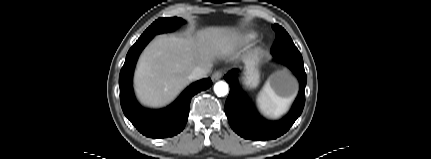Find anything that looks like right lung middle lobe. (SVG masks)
I'll return each mask as SVG.
<instances>
[{"label":"right lung middle lobe","instance_id":"obj_1","mask_svg":"<svg viewBox=\"0 0 431 159\" xmlns=\"http://www.w3.org/2000/svg\"><path fill=\"white\" fill-rule=\"evenodd\" d=\"M184 22L185 21L183 19L177 17L159 18L145 30V32L140 36V38L154 36L163 32L173 31Z\"/></svg>","mask_w":431,"mask_h":159}]
</instances>
